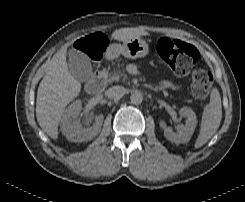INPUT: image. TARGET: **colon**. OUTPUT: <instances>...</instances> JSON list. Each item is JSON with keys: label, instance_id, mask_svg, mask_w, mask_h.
I'll return each instance as SVG.
<instances>
[{"label": "colon", "instance_id": "1", "mask_svg": "<svg viewBox=\"0 0 245 202\" xmlns=\"http://www.w3.org/2000/svg\"><path fill=\"white\" fill-rule=\"evenodd\" d=\"M106 38L103 33L96 32L77 41L74 49L79 56L97 60L106 50ZM158 57L176 74L189 73L199 60L198 50L180 40L161 38L157 43ZM212 86V75L206 70H197L192 74V90L200 101L208 98Z\"/></svg>", "mask_w": 245, "mask_h": 202}]
</instances>
